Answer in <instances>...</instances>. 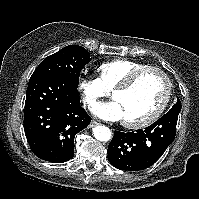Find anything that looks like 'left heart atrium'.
Listing matches in <instances>:
<instances>
[{"instance_id":"39dd6f15","label":"left heart atrium","mask_w":199,"mask_h":199,"mask_svg":"<svg viewBox=\"0 0 199 199\" xmlns=\"http://www.w3.org/2000/svg\"><path fill=\"white\" fill-rule=\"evenodd\" d=\"M93 113L100 119L107 121H119L123 119V111L115 100L99 103L92 109Z\"/></svg>"}]
</instances>
